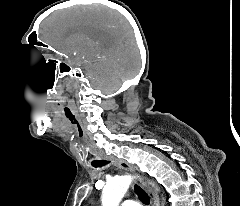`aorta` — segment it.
Segmentation results:
<instances>
[{
	"label": "aorta",
	"instance_id": "1",
	"mask_svg": "<svg viewBox=\"0 0 240 206\" xmlns=\"http://www.w3.org/2000/svg\"><path fill=\"white\" fill-rule=\"evenodd\" d=\"M132 181L129 175L110 179L102 191V206H119Z\"/></svg>",
	"mask_w": 240,
	"mask_h": 206
}]
</instances>
